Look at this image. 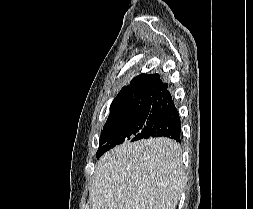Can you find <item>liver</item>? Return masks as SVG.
I'll list each match as a JSON object with an SVG mask.
<instances>
[{
    "instance_id": "liver-1",
    "label": "liver",
    "mask_w": 253,
    "mask_h": 209,
    "mask_svg": "<svg viewBox=\"0 0 253 209\" xmlns=\"http://www.w3.org/2000/svg\"><path fill=\"white\" fill-rule=\"evenodd\" d=\"M185 180L174 140L125 142L96 162L89 199L92 209H175Z\"/></svg>"
}]
</instances>
